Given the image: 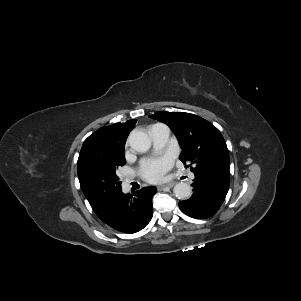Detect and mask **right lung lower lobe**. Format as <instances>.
Returning a JSON list of instances; mask_svg holds the SVG:
<instances>
[{
  "mask_svg": "<svg viewBox=\"0 0 301 301\" xmlns=\"http://www.w3.org/2000/svg\"><path fill=\"white\" fill-rule=\"evenodd\" d=\"M156 192L154 186L138 190L135 197L121 192L98 217L120 232H138L152 218V196Z\"/></svg>",
  "mask_w": 301,
  "mask_h": 301,
  "instance_id": "right-lung-lower-lobe-1",
  "label": "right lung lower lobe"
}]
</instances>
